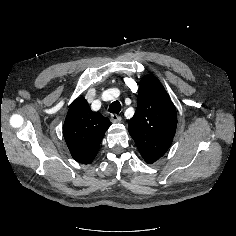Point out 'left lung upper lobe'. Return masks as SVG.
Wrapping results in <instances>:
<instances>
[{
    "label": "left lung upper lobe",
    "mask_w": 236,
    "mask_h": 236,
    "mask_svg": "<svg viewBox=\"0 0 236 236\" xmlns=\"http://www.w3.org/2000/svg\"><path fill=\"white\" fill-rule=\"evenodd\" d=\"M177 114L166 90L153 75L143 77L128 130L145 161L155 162L172 144Z\"/></svg>",
    "instance_id": "obj_1"
}]
</instances>
